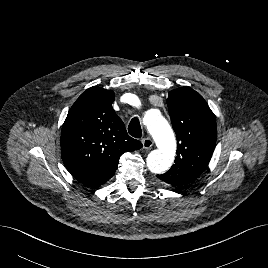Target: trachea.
<instances>
[{
    "label": "trachea",
    "instance_id": "3493384b",
    "mask_svg": "<svg viewBox=\"0 0 268 268\" xmlns=\"http://www.w3.org/2000/svg\"><path fill=\"white\" fill-rule=\"evenodd\" d=\"M128 131H129V134L134 137V138H141L142 136V129H141V126H140V122H139V119L137 117H134L130 123H129V126H128Z\"/></svg>",
    "mask_w": 268,
    "mask_h": 268
}]
</instances>
